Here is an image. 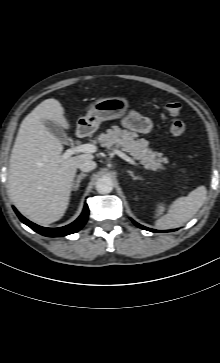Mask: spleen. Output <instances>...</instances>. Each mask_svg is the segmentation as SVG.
<instances>
[{
  "instance_id": "3e777b00",
  "label": "spleen",
  "mask_w": 220,
  "mask_h": 363,
  "mask_svg": "<svg viewBox=\"0 0 220 363\" xmlns=\"http://www.w3.org/2000/svg\"><path fill=\"white\" fill-rule=\"evenodd\" d=\"M206 198V187L198 186L187 196L177 198L171 205L168 214L156 221V226L161 229H172L183 225L198 212ZM159 208L162 210V206Z\"/></svg>"
}]
</instances>
